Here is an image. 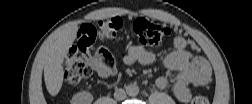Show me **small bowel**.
I'll use <instances>...</instances> for the list:
<instances>
[{
	"mask_svg": "<svg viewBox=\"0 0 252 104\" xmlns=\"http://www.w3.org/2000/svg\"><path fill=\"white\" fill-rule=\"evenodd\" d=\"M173 51L164 55L162 63L170 71L177 74L171 80L168 76H160L156 80L159 89H165L172 85L175 97L183 103L190 100L191 94L189 86L200 87L211 80L212 72L208 62L199 56H194L188 50V44L184 37L177 36L173 41ZM154 54L143 46H132L125 55L123 61L131 66L135 63L149 65L153 63ZM86 61L90 68L99 77L105 78L110 72L101 64L99 58L92 54H87Z\"/></svg>",
	"mask_w": 252,
	"mask_h": 104,
	"instance_id": "1",
	"label": "small bowel"
}]
</instances>
